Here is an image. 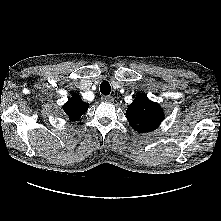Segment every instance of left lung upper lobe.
<instances>
[{
  "mask_svg": "<svg viewBox=\"0 0 221 221\" xmlns=\"http://www.w3.org/2000/svg\"><path fill=\"white\" fill-rule=\"evenodd\" d=\"M126 117L134 130L140 133L150 132L163 120V110L159 104L150 101L145 95H139L128 106Z\"/></svg>",
  "mask_w": 221,
  "mask_h": 221,
  "instance_id": "obj_1",
  "label": "left lung upper lobe"
}]
</instances>
